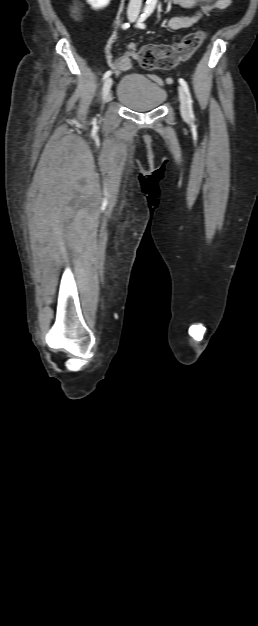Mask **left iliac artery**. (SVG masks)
I'll return each instance as SVG.
<instances>
[{
  "mask_svg": "<svg viewBox=\"0 0 258 626\" xmlns=\"http://www.w3.org/2000/svg\"><path fill=\"white\" fill-rule=\"evenodd\" d=\"M151 13H152L151 11L150 12L148 11L145 14L141 15V17L139 18L138 23H137V26L139 28L144 29L146 27V25L144 24V21L147 19L148 16H150ZM179 83L181 84L183 90L186 93L189 113H190L191 116H193V109H192V102L193 101H192V98H191V94H190V91H189L188 84L182 78H179Z\"/></svg>",
  "mask_w": 258,
  "mask_h": 626,
  "instance_id": "obj_1",
  "label": "left iliac artery"
}]
</instances>
